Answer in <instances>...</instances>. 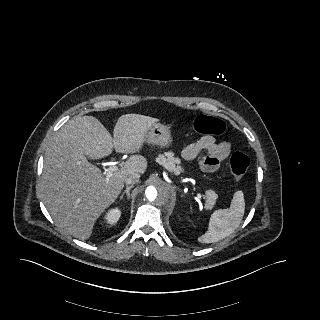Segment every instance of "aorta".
Here are the masks:
<instances>
[{
  "label": "aorta",
  "instance_id": "762f6f07",
  "mask_svg": "<svg viewBox=\"0 0 320 320\" xmlns=\"http://www.w3.org/2000/svg\"><path fill=\"white\" fill-rule=\"evenodd\" d=\"M173 197V191L169 184L155 179L145 190L143 199L145 204L153 211L162 212L164 205Z\"/></svg>",
  "mask_w": 320,
  "mask_h": 320
}]
</instances>
